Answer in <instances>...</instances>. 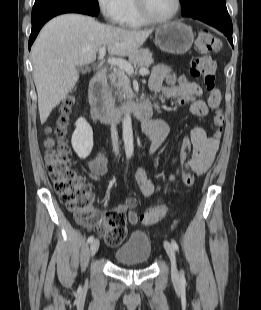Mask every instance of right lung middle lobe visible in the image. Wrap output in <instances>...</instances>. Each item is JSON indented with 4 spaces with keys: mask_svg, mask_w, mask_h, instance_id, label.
I'll list each match as a JSON object with an SVG mask.
<instances>
[{
    "mask_svg": "<svg viewBox=\"0 0 261 310\" xmlns=\"http://www.w3.org/2000/svg\"><path fill=\"white\" fill-rule=\"evenodd\" d=\"M54 5H75L89 8L92 11L99 13V5L97 0H35L32 14Z\"/></svg>",
    "mask_w": 261,
    "mask_h": 310,
    "instance_id": "obj_1",
    "label": "right lung middle lobe"
}]
</instances>
